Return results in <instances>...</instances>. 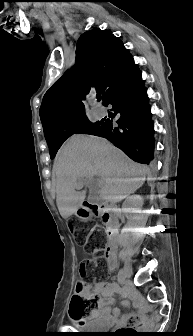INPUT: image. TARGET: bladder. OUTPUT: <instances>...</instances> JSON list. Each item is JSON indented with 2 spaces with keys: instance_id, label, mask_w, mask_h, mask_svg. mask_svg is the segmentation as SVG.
<instances>
[{
  "instance_id": "31cf9c89",
  "label": "bladder",
  "mask_w": 193,
  "mask_h": 336,
  "mask_svg": "<svg viewBox=\"0 0 193 336\" xmlns=\"http://www.w3.org/2000/svg\"><path fill=\"white\" fill-rule=\"evenodd\" d=\"M104 328V323L101 320L89 321L84 325V329L88 331H100Z\"/></svg>"
}]
</instances>
